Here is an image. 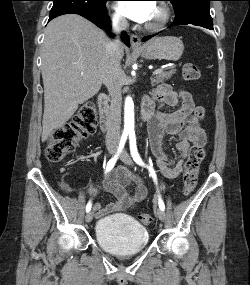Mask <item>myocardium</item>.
Instances as JSON below:
<instances>
[{
    "label": "myocardium",
    "mask_w": 250,
    "mask_h": 285,
    "mask_svg": "<svg viewBox=\"0 0 250 285\" xmlns=\"http://www.w3.org/2000/svg\"><path fill=\"white\" fill-rule=\"evenodd\" d=\"M156 7L158 8L160 15L156 22L147 23L145 25V29L149 32H158L162 30L170 20V8L165 2H158Z\"/></svg>",
    "instance_id": "1"
}]
</instances>
